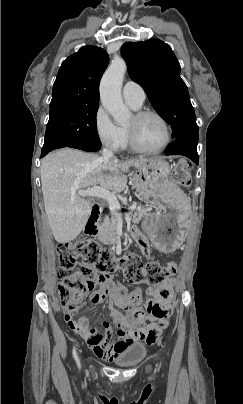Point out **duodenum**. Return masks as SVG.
I'll use <instances>...</instances> for the list:
<instances>
[{"mask_svg": "<svg viewBox=\"0 0 243 404\" xmlns=\"http://www.w3.org/2000/svg\"><path fill=\"white\" fill-rule=\"evenodd\" d=\"M100 213V206L94 204L91 209V213L85 225L84 232L88 236H95L97 233V221Z\"/></svg>", "mask_w": 243, "mask_h": 404, "instance_id": "1", "label": "duodenum"}]
</instances>
